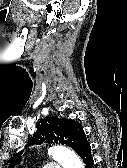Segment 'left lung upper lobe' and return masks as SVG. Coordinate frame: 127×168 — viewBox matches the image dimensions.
Instances as JSON below:
<instances>
[{
    "mask_svg": "<svg viewBox=\"0 0 127 168\" xmlns=\"http://www.w3.org/2000/svg\"><path fill=\"white\" fill-rule=\"evenodd\" d=\"M85 140L86 135L79 122L58 117H46L37 124V130L30 145H38L43 142L61 143L67 144L77 152ZM22 153L23 151H20L12 157L9 168H14Z\"/></svg>",
    "mask_w": 127,
    "mask_h": 168,
    "instance_id": "left-lung-upper-lobe-1",
    "label": "left lung upper lobe"
}]
</instances>
